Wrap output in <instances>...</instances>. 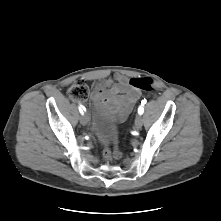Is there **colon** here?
Wrapping results in <instances>:
<instances>
[{
    "label": "colon",
    "instance_id": "colon-1",
    "mask_svg": "<svg viewBox=\"0 0 221 221\" xmlns=\"http://www.w3.org/2000/svg\"><path fill=\"white\" fill-rule=\"evenodd\" d=\"M131 87L150 92L153 90V81L149 77H136L130 79ZM69 97L74 101L86 102L89 96V88L84 81L75 82L68 90ZM123 156V153L120 151L117 140L113 149L105 145L103 148V157L106 161H111L113 158L119 159Z\"/></svg>",
    "mask_w": 221,
    "mask_h": 221
}]
</instances>
